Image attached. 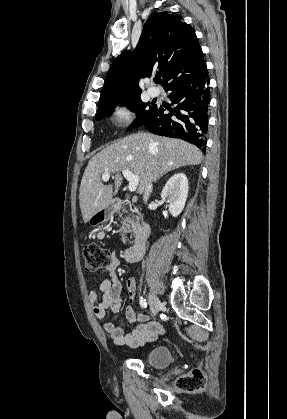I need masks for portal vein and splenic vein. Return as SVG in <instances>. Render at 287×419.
I'll use <instances>...</instances> for the list:
<instances>
[{
	"label": "portal vein and splenic vein",
	"mask_w": 287,
	"mask_h": 419,
	"mask_svg": "<svg viewBox=\"0 0 287 419\" xmlns=\"http://www.w3.org/2000/svg\"><path fill=\"white\" fill-rule=\"evenodd\" d=\"M122 174L125 179L129 182L128 189L130 192H134L139 184L140 177L138 175L133 174L129 170H122ZM110 178V173H106L102 175V181L107 182Z\"/></svg>",
	"instance_id": "1"
}]
</instances>
